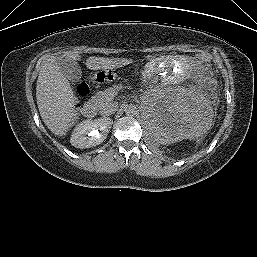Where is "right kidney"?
I'll return each instance as SVG.
<instances>
[{"label": "right kidney", "instance_id": "obj_1", "mask_svg": "<svg viewBox=\"0 0 257 257\" xmlns=\"http://www.w3.org/2000/svg\"><path fill=\"white\" fill-rule=\"evenodd\" d=\"M112 124V119L108 117L83 121L74 129L70 142L75 148L80 149L99 145L107 138Z\"/></svg>", "mask_w": 257, "mask_h": 257}]
</instances>
